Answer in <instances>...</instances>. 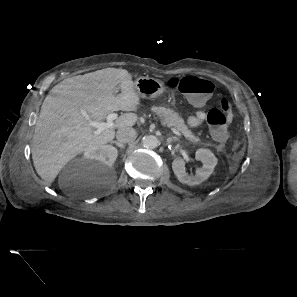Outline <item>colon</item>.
<instances>
[{
	"label": "colon",
	"instance_id": "colon-1",
	"mask_svg": "<svg viewBox=\"0 0 297 297\" xmlns=\"http://www.w3.org/2000/svg\"><path fill=\"white\" fill-rule=\"evenodd\" d=\"M169 86L198 103L209 98L214 92V85L211 81L195 76L172 78ZM219 105V108H213L208 112L207 124L211 135L217 141L223 142L227 138L228 127L232 121V104L227 98H222Z\"/></svg>",
	"mask_w": 297,
	"mask_h": 297
}]
</instances>
